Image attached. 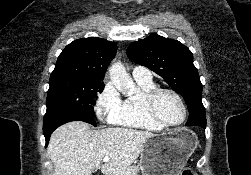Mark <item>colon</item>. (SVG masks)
I'll use <instances>...</instances> for the list:
<instances>
[{
  "instance_id": "5ec220e1",
  "label": "colon",
  "mask_w": 251,
  "mask_h": 175,
  "mask_svg": "<svg viewBox=\"0 0 251 175\" xmlns=\"http://www.w3.org/2000/svg\"><path fill=\"white\" fill-rule=\"evenodd\" d=\"M181 175H197V173L191 167H185Z\"/></svg>"
}]
</instances>
